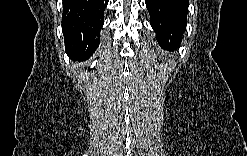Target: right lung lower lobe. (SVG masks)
<instances>
[{
  "label": "right lung lower lobe",
  "instance_id": "1",
  "mask_svg": "<svg viewBox=\"0 0 247 156\" xmlns=\"http://www.w3.org/2000/svg\"><path fill=\"white\" fill-rule=\"evenodd\" d=\"M108 0H63L62 30L66 53L89 58L100 43Z\"/></svg>",
  "mask_w": 247,
  "mask_h": 156
}]
</instances>
